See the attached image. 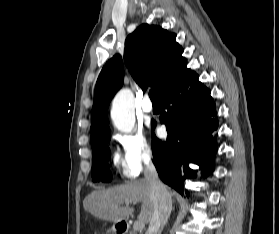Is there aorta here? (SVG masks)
Listing matches in <instances>:
<instances>
[{"label": "aorta", "instance_id": "obj_1", "mask_svg": "<svg viewBox=\"0 0 279 234\" xmlns=\"http://www.w3.org/2000/svg\"><path fill=\"white\" fill-rule=\"evenodd\" d=\"M111 118L114 126L122 132L128 133L134 128V98L129 89H122L114 97Z\"/></svg>", "mask_w": 279, "mask_h": 234}]
</instances>
